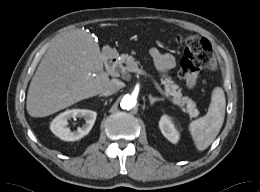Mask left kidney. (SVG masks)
I'll use <instances>...</instances> for the list:
<instances>
[{
	"mask_svg": "<svg viewBox=\"0 0 260 192\" xmlns=\"http://www.w3.org/2000/svg\"><path fill=\"white\" fill-rule=\"evenodd\" d=\"M159 127L164 135L172 143H177L180 137L179 132L175 128L171 118L167 115H163L159 121Z\"/></svg>",
	"mask_w": 260,
	"mask_h": 192,
	"instance_id": "1",
	"label": "left kidney"
}]
</instances>
